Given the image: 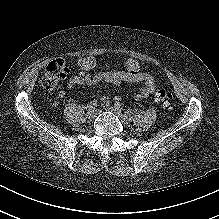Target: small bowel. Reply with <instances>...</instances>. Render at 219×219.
Returning a JSON list of instances; mask_svg holds the SVG:
<instances>
[{"instance_id": "obj_1", "label": "small bowel", "mask_w": 219, "mask_h": 219, "mask_svg": "<svg viewBox=\"0 0 219 219\" xmlns=\"http://www.w3.org/2000/svg\"><path fill=\"white\" fill-rule=\"evenodd\" d=\"M85 59L79 61L80 72L69 79L66 85L67 90H71L78 85L94 86L102 81L113 85H119L122 82L129 84L143 83L144 86L135 95L137 101L147 99L155 90L154 77L151 74L142 72V66L137 60H127L126 70H108L91 74L89 73L91 68L88 69L84 66ZM65 94L66 92L61 90L59 97L63 98ZM103 102L108 103V99L103 98Z\"/></svg>"}]
</instances>
